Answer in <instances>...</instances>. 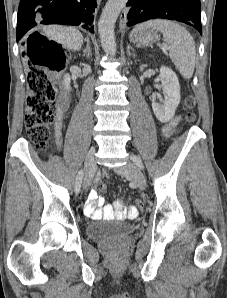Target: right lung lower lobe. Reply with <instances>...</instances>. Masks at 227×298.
<instances>
[{"label":"right lung lower lobe","instance_id":"98d812e1","mask_svg":"<svg viewBox=\"0 0 227 298\" xmlns=\"http://www.w3.org/2000/svg\"><path fill=\"white\" fill-rule=\"evenodd\" d=\"M96 7V0H21L16 40L39 24L80 25L93 33Z\"/></svg>","mask_w":227,"mask_h":298}]
</instances>
